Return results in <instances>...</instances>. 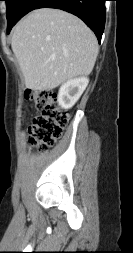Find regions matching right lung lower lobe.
<instances>
[{
  "label": "right lung lower lobe",
  "instance_id": "1",
  "mask_svg": "<svg viewBox=\"0 0 133 253\" xmlns=\"http://www.w3.org/2000/svg\"><path fill=\"white\" fill-rule=\"evenodd\" d=\"M106 0H25L20 8L18 20L28 12L38 8H57L70 12L81 20L95 33L98 41L105 26Z\"/></svg>",
  "mask_w": 133,
  "mask_h": 253
}]
</instances>
